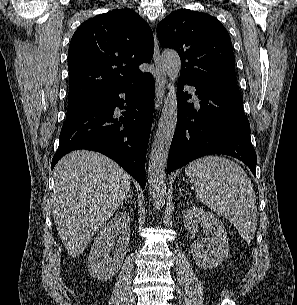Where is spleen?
I'll list each match as a JSON object with an SVG mask.
<instances>
[{"label":"spleen","mask_w":297,"mask_h":305,"mask_svg":"<svg viewBox=\"0 0 297 305\" xmlns=\"http://www.w3.org/2000/svg\"><path fill=\"white\" fill-rule=\"evenodd\" d=\"M185 173L197 198L232 222L241 237L251 242L257 226L256 196L241 166L223 157L206 156L191 162Z\"/></svg>","instance_id":"1"}]
</instances>
